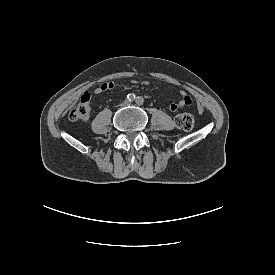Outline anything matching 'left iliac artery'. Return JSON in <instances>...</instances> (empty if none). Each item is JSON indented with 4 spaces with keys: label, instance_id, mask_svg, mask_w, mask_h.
I'll return each mask as SVG.
<instances>
[{
    "label": "left iliac artery",
    "instance_id": "left-iliac-artery-1",
    "mask_svg": "<svg viewBox=\"0 0 275 275\" xmlns=\"http://www.w3.org/2000/svg\"><path fill=\"white\" fill-rule=\"evenodd\" d=\"M136 101L137 103L142 104L144 102V99L142 97H137Z\"/></svg>",
    "mask_w": 275,
    "mask_h": 275
}]
</instances>
